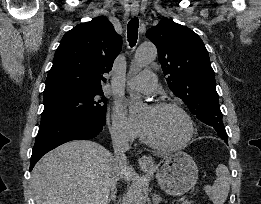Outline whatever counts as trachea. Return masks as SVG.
<instances>
[{
	"label": "trachea",
	"instance_id": "trachea-1",
	"mask_svg": "<svg viewBox=\"0 0 261 204\" xmlns=\"http://www.w3.org/2000/svg\"><path fill=\"white\" fill-rule=\"evenodd\" d=\"M139 21L137 17L132 18L127 26V37L130 47L135 46L138 38Z\"/></svg>",
	"mask_w": 261,
	"mask_h": 204
}]
</instances>
